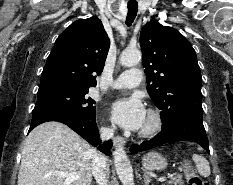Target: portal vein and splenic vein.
Listing matches in <instances>:
<instances>
[{
	"label": "portal vein and splenic vein",
	"mask_w": 233,
	"mask_h": 185,
	"mask_svg": "<svg viewBox=\"0 0 233 185\" xmlns=\"http://www.w3.org/2000/svg\"><path fill=\"white\" fill-rule=\"evenodd\" d=\"M60 175L66 178L65 179L66 185H68L69 183L79 179V176L76 175V174H73V173H60ZM166 180H167V177H160L158 179L159 182H164Z\"/></svg>",
	"instance_id": "portal-vein-and-splenic-vein-1"
}]
</instances>
